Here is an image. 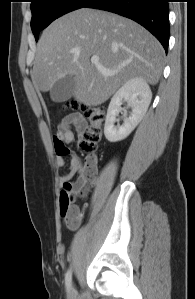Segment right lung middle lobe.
Wrapping results in <instances>:
<instances>
[{"instance_id":"obj_1","label":"right lung middle lobe","mask_w":195,"mask_h":299,"mask_svg":"<svg viewBox=\"0 0 195 299\" xmlns=\"http://www.w3.org/2000/svg\"><path fill=\"white\" fill-rule=\"evenodd\" d=\"M90 0H32L31 29L37 40L39 32L58 17L84 7Z\"/></svg>"}]
</instances>
